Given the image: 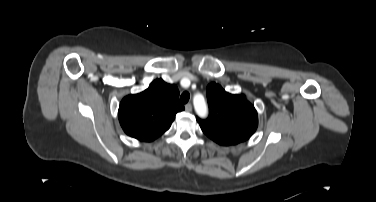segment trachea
<instances>
[{"label": "trachea", "mask_w": 376, "mask_h": 202, "mask_svg": "<svg viewBox=\"0 0 376 202\" xmlns=\"http://www.w3.org/2000/svg\"><path fill=\"white\" fill-rule=\"evenodd\" d=\"M189 98H190L189 93L188 92H184L180 96V102L183 103V104H186L189 101Z\"/></svg>", "instance_id": "obj_1"}]
</instances>
